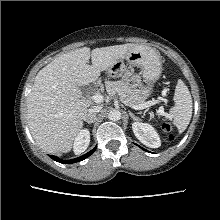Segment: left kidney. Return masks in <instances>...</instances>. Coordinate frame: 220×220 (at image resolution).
<instances>
[{
	"instance_id": "5707ae66",
	"label": "left kidney",
	"mask_w": 220,
	"mask_h": 220,
	"mask_svg": "<svg viewBox=\"0 0 220 220\" xmlns=\"http://www.w3.org/2000/svg\"><path fill=\"white\" fill-rule=\"evenodd\" d=\"M132 130L137 139L147 147L158 148L161 146L159 135L150 124L134 122Z\"/></svg>"
}]
</instances>
